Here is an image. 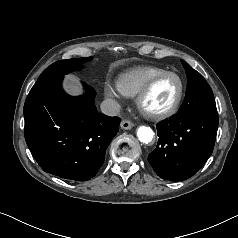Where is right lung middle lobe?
Listing matches in <instances>:
<instances>
[{
	"label": "right lung middle lobe",
	"instance_id": "obj_1",
	"mask_svg": "<svg viewBox=\"0 0 238 238\" xmlns=\"http://www.w3.org/2000/svg\"><path fill=\"white\" fill-rule=\"evenodd\" d=\"M91 59L92 57L73 58L57 61L50 65L47 69H45L40 75L39 79L63 76L70 71L79 69L81 67V64L85 63L86 61H90Z\"/></svg>",
	"mask_w": 238,
	"mask_h": 238
}]
</instances>
